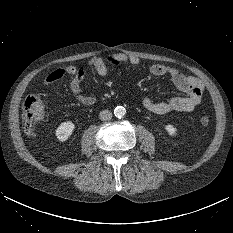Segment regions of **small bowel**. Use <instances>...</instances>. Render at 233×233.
<instances>
[{
	"mask_svg": "<svg viewBox=\"0 0 233 233\" xmlns=\"http://www.w3.org/2000/svg\"><path fill=\"white\" fill-rule=\"evenodd\" d=\"M125 63L137 66L140 64V59L134 55L111 53L104 58H92L89 61L88 66L94 69L98 75L105 77L109 73V66H119ZM149 72L154 76L169 77L174 86L179 91L186 94L184 97H173L162 102H155L148 96H144L141 100V104L149 112L154 114H165L170 112L185 113L193 111L200 104L204 91V84L200 79L186 75L171 66L162 64L150 65ZM85 73V68L76 66H67L64 69H56L46 76L44 85L49 86L64 75L72 76L70 89L75 99L82 105L91 106L96 103L97 97L86 95L83 92L82 82Z\"/></svg>",
	"mask_w": 233,
	"mask_h": 233,
	"instance_id": "small-bowel-1",
	"label": "small bowel"
}]
</instances>
